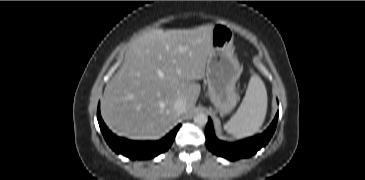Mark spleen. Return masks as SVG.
I'll list each match as a JSON object with an SVG mask.
<instances>
[{
	"mask_svg": "<svg viewBox=\"0 0 365 180\" xmlns=\"http://www.w3.org/2000/svg\"><path fill=\"white\" fill-rule=\"evenodd\" d=\"M267 91L257 74H252L246 94L237 112L224 124V130L235 137H248L260 129L267 112Z\"/></svg>",
	"mask_w": 365,
	"mask_h": 180,
	"instance_id": "3e777b00",
	"label": "spleen"
}]
</instances>
